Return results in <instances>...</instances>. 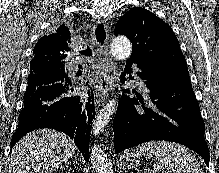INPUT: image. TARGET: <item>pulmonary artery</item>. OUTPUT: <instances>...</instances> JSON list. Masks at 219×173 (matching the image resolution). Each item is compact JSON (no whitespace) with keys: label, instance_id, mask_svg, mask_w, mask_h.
Segmentation results:
<instances>
[{"label":"pulmonary artery","instance_id":"1","mask_svg":"<svg viewBox=\"0 0 219 173\" xmlns=\"http://www.w3.org/2000/svg\"><path fill=\"white\" fill-rule=\"evenodd\" d=\"M137 83H138V85L143 89V90H145V88H144V86H143V84H142V81H141V79H137Z\"/></svg>","mask_w":219,"mask_h":173}]
</instances>
